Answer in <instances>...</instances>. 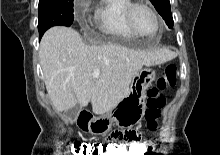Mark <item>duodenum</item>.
I'll list each match as a JSON object with an SVG mask.
<instances>
[{
	"mask_svg": "<svg viewBox=\"0 0 220 155\" xmlns=\"http://www.w3.org/2000/svg\"><path fill=\"white\" fill-rule=\"evenodd\" d=\"M93 120V115L88 110H82L78 117V123L80 125H88Z\"/></svg>",
	"mask_w": 220,
	"mask_h": 155,
	"instance_id": "1",
	"label": "duodenum"
}]
</instances>
